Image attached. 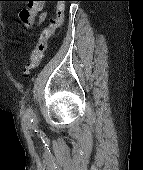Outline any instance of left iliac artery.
<instances>
[{"instance_id": "1", "label": "left iliac artery", "mask_w": 143, "mask_h": 170, "mask_svg": "<svg viewBox=\"0 0 143 170\" xmlns=\"http://www.w3.org/2000/svg\"><path fill=\"white\" fill-rule=\"evenodd\" d=\"M27 116H28V122H29V127L34 129L35 132H37V125H36V116L33 113V111L28 110L27 112Z\"/></svg>"}]
</instances>
